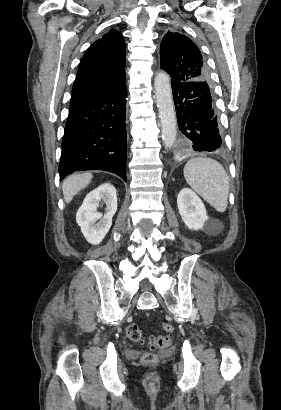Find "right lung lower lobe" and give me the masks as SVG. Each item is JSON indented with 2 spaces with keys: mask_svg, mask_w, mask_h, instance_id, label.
Returning a JSON list of instances; mask_svg holds the SVG:
<instances>
[{
  "mask_svg": "<svg viewBox=\"0 0 281 410\" xmlns=\"http://www.w3.org/2000/svg\"><path fill=\"white\" fill-rule=\"evenodd\" d=\"M126 84L71 105L62 139L60 180L81 170H105L126 181Z\"/></svg>",
  "mask_w": 281,
  "mask_h": 410,
  "instance_id": "98d812e1",
  "label": "right lung lower lobe"
}]
</instances>
